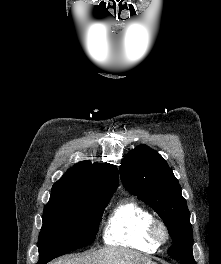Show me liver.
I'll return each instance as SVG.
<instances>
[{
  "instance_id": "6515ba94",
  "label": "liver",
  "mask_w": 221,
  "mask_h": 264,
  "mask_svg": "<svg viewBox=\"0 0 221 264\" xmlns=\"http://www.w3.org/2000/svg\"><path fill=\"white\" fill-rule=\"evenodd\" d=\"M145 262H151V259L139 252L119 247H106L84 255L61 258L50 264H143Z\"/></svg>"
}]
</instances>
